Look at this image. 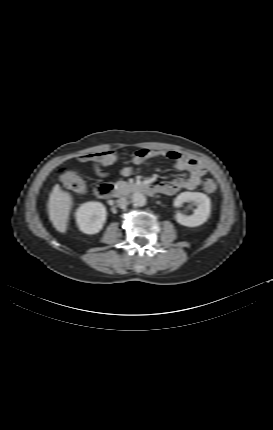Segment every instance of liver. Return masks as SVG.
I'll return each instance as SVG.
<instances>
[{"label": "liver", "instance_id": "obj_1", "mask_svg": "<svg viewBox=\"0 0 273 430\" xmlns=\"http://www.w3.org/2000/svg\"><path fill=\"white\" fill-rule=\"evenodd\" d=\"M72 204L73 198L70 193L63 191L61 187L56 184L49 196L48 211L53 226L61 233L67 231Z\"/></svg>", "mask_w": 273, "mask_h": 430}]
</instances>
